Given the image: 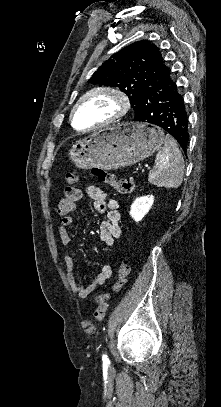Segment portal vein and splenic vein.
<instances>
[{"instance_id":"obj_1","label":"portal vein and splenic vein","mask_w":221,"mask_h":407,"mask_svg":"<svg viewBox=\"0 0 221 407\" xmlns=\"http://www.w3.org/2000/svg\"><path fill=\"white\" fill-rule=\"evenodd\" d=\"M148 169H150V167H147L146 169H142V172L144 173Z\"/></svg>"}]
</instances>
